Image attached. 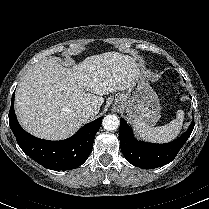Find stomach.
<instances>
[{
	"label": "stomach",
	"instance_id": "0dacf381",
	"mask_svg": "<svg viewBox=\"0 0 209 209\" xmlns=\"http://www.w3.org/2000/svg\"><path fill=\"white\" fill-rule=\"evenodd\" d=\"M114 106L125 110L129 118L149 126H154L161 117L158 96L142 74L126 91L116 95Z\"/></svg>",
	"mask_w": 209,
	"mask_h": 209
}]
</instances>
